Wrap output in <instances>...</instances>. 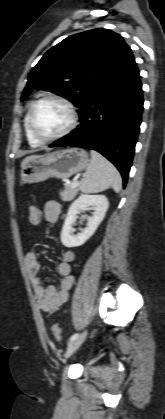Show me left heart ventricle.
I'll return each instance as SVG.
<instances>
[{"instance_id":"1","label":"left heart ventricle","mask_w":165,"mask_h":419,"mask_svg":"<svg viewBox=\"0 0 165 419\" xmlns=\"http://www.w3.org/2000/svg\"><path fill=\"white\" fill-rule=\"evenodd\" d=\"M69 123V113L64 105L56 101L40 103L34 112V126L43 137L61 132Z\"/></svg>"}]
</instances>
